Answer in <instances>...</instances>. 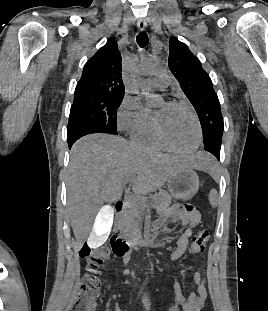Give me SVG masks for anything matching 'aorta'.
<instances>
[{
    "mask_svg": "<svg viewBox=\"0 0 268 311\" xmlns=\"http://www.w3.org/2000/svg\"><path fill=\"white\" fill-rule=\"evenodd\" d=\"M157 67L158 60L156 58H145L142 59L137 65V72L140 75H148L155 72ZM139 87L148 97L150 104H158L160 102L161 98L156 95L149 94V89L144 83H140Z\"/></svg>",
    "mask_w": 268,
    "mask_h": 311,
    "instance_id": "1",
    "label": "aorta"
}]
</instances>
